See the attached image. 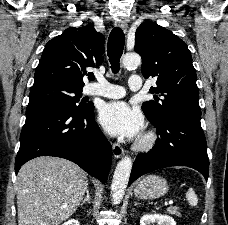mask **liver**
Wrapping results in <instances>:
<instances>
[{
	"mask_svg": "<svg viewBox=\"0 0 228 225\" xmlns=\"http://www.w3.org/2000/svg\"><path fill=\"white\" fill-rule=\"evenodd\" d=\"M18 225H60L78 209L86 173L65 159L38 157L17 175Z\"/></svg>",
	"mask_w": 228,
	"mask_h": 225,
	"instance_id": "obj_1",
	"label": "liver"
}]
</instances>
